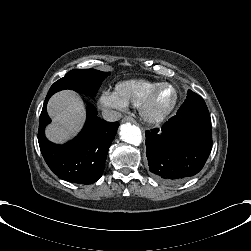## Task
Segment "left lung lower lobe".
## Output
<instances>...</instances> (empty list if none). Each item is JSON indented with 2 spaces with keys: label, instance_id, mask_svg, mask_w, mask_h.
<instances>
[{
  "label": "left lung lower lobe",
  "instance_id": "left-lung-lower-lobe-1",
  "mask_svg": "<svg viewBox=\"0 0 251 251\" xmlns=\"http://www.w3.org/2000/svg\"><path fill=\"white\" fill-rule=\"evenodd\" d=\"M149 170L161 182L176 184L196 175L212 149L210 115L184 112L161 128L146 131Z\"/></svg>",
  "mask_w": 251,
  "mask_h": 251
}]
</instances>
